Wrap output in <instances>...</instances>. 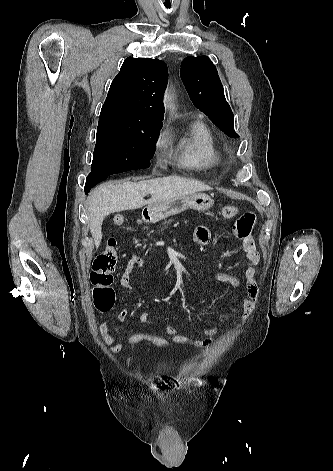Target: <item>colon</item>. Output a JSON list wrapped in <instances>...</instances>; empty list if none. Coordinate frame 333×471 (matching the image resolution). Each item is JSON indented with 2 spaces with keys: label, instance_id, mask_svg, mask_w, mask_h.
<instances>
[{
  "label": "colon",
  "instance_id": "1",
  "mask_svg": "<svg viewBox=\"0 0 333 471\" xmlns=\"http://www.w3.org/2000/svg\"><path fill=\"white\" fill-rule=\"evenodd\" d=\"M237 213L236 206H225L221 210V215L227 219L235 217ZM113 223L115 226H122L125 218L122 215H116ZM117 259V243L114 238H110L103 251L95 258L90 274L94 304L100 311H109L114 305L115 294L112 284ZM127 342L130 346L153 345L155 347H167L172 343L166 336L147 332H135L128 336Z\"/></svg>",
  "mask_w": 333,
  "mask_h": 471
}]
</instances>
